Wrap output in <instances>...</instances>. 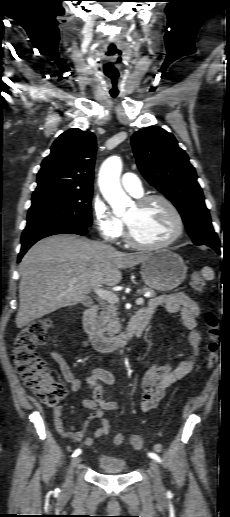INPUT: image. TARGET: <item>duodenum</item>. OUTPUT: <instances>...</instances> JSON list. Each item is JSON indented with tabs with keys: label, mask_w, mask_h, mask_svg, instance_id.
<instances>
[{
	"label": "duodenum",
	"mask_w": 230,
	"mask_h": 517,
	"mask_svg": "<svg viewBox=\"0 0 230 517\" xmlns=\"http://www.w3.org/2000/svg\"><path fill=\"white\" fill-rule=\"evenodd\" d=\"M98 311V305L93 304L85 310L82 317L83 328L94 349L98 352H111L126 347L133 339L142 336L152 317L150 310L140 309L130 318L125 332L115 336H106L95 324Z\"/></svg>",
	"instance_id": "obj_1"
}]
</instances>
